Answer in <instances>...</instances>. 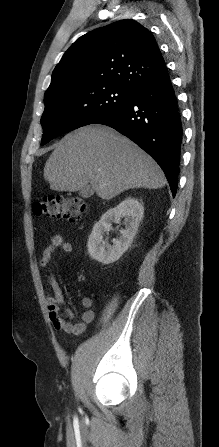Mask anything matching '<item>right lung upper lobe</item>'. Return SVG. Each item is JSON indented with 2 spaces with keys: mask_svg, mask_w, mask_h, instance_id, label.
<instances>
[{
  "mask_svg": "<svg viewBox=\"0 0 219 447\" xmlns=\"http://www.w3.org/2000/svg\"><path fill=\"white\" fill-rule=\"evenodd\" d=\"M167 76L152 33L138 22L125 19L78 38L55 67L45 96L63 90L86 92L103 85L135 94Z\"/></svg>",
  "mask_w": 219,
  "mask_h": 447,
  "instance_id": "1",
  "label": "right lung upper lobe"
}]
</instances>
